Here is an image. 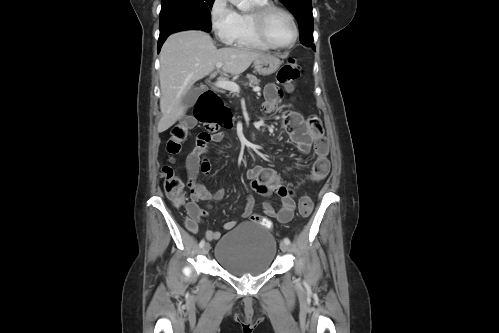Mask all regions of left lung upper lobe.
Masks as SVG:
<instances>
[{"instance_id": "1", "label": "left lung upper lobe", "mask_w": 499, "mask_h": 333, "mask_svg": "<svg viewBox=\"0 0 499 333\" xmlns=\"http://www.w3.org/2000/svg\"><path fill=\"white\" fill-rule=\"evenodd\" d=\"M294 15L299 25L301 42H313L311 0H279Z\"/></svg>"}]
</instances>
